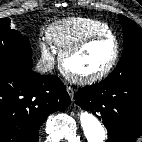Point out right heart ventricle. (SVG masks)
<instances>
[{"label":"right heart ventricle","mask_w":142,"mask_h":142,"mask_svg":"<svg viewBox=\"0 0 142 142\" xmlns=\"http://www.w3.org/2000/svg\"><path fill=\"white\" fill-rule=\"evenodd\" d=\"M111 33L109 26L101 21L90 18H70L50 26L47 37L60 52H63L89 36Z\"/></svg>","instance_id":"obj_1"}]
</instances>
